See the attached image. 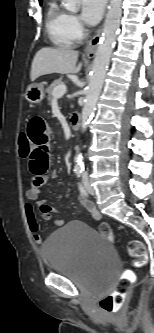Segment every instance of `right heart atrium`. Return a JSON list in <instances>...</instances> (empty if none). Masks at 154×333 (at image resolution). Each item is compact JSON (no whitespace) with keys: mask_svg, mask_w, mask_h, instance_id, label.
Masks as SVG:
<instances>
[{"mask_svg":"<svg viewBox=\"0 0 154 333\" xmlns=\"http://www.w3.org/2000/svg\"><path fill=\"white\" fill-rule=\"evenodd\" d=\"M68 23H69V29L72 35L75 37V39L76 40L81 39L84 35V27L80 19L76 15L70 14Z\"/></svg>","mask_w":154,"mask_h":333,"instance_id":"obj_1","label":"right heart atrium"}]
</instances>
